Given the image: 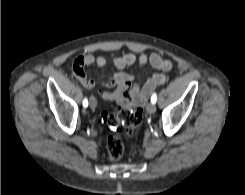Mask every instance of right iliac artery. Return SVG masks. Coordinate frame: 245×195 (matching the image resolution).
<instances>
[{"label":"right iliac artery","instance_id":"obj_1","mask_svg":"<svg viewBox=\"0 0 245 195\" xmlns=\"http://www.w3.org/2000/svg\"><path fill=\"white\" fill-rule=\"evenodd\" d=\"M83 106L85 108L88 106V100L86 98L83 100Z\"/></svg>","mask_w":245,"mask_h":195}]
</instances>
